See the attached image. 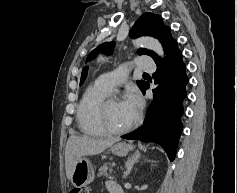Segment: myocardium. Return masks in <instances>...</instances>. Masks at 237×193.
I'll return each instance as SVG.
<instances>
[{"mask_svg": "<svg viewBox=\"0 0 237 193\" xmlns=\"http://www.w3.org/2000/svg\"><path fill=\"white\" fill-rule=\"evenodd\" d=\"M120 101V97L116 95L115 93H110L107 96H105L98 104L97 111H96V120L99 127L106 133L110 135H122L127 132H129L131 129L134 128L136 125L138 119H134L132 123H130L128 126L121 128V129H115L111 127L107 122V111L108 107L111 103Z\"/></svg>", "mask_w": 237, "mask_h": 193, "instance_id": "f54148a6", "label": "myocardium"}]
</instances>
